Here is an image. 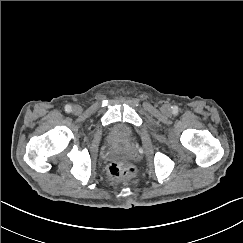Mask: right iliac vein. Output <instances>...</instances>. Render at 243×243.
<instances>
[{"label": "right iliac vein", "mask_w": 243, "mask_h": 243, "mask_svg": "<svg viewBox=\"0 0 243 243\" xmlns=\"http://www.w3.org/2000/svg\"><path fill=\"white\" fill-rule=\"evenodd\" d=\"M81 111H82V108H81V106H79V105H74V106L72 107V112H73L74 114H76V115L80 114Z\"/></svg>", "instance_id": "1"}]
</instances>
